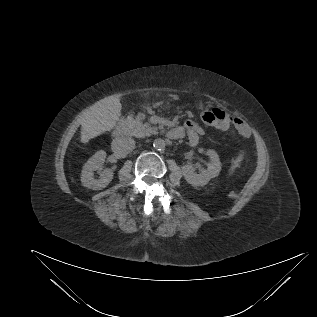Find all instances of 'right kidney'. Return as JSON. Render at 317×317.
<instances>
[{"instance_id":"obj_1","label":"right kidney","mask_w":317,"mask_h":317,"mask_svg":"<svg viewBox=\"0 0 317 317\" xmlns=\"http://www.w3.org/2000/svg\"><path fill=\"white\" fill-rule=\"evenodd\" d=\"M106 158V152L100 150L96 152L84 165L81 175V182L83 186L93 189L101 190L105 188L113 179V172L110 169H105L100 173V179L94 178V171L100 170Z\"/></svg>"}]
</instances>
